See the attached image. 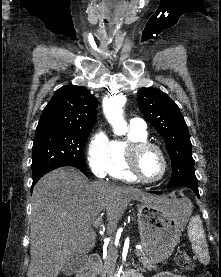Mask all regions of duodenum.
Listing matches in <instances>:
<instances>
[{
  "instance_id": "1",
  "label": "duodenum",
  "mask_w": 221,
  "mask_h": 277,
  "mask_svg": "<svg viewBox=\"0 0 221 277\" xmlns=\"http://www.w3.org/2000/svg\"><path fill=\"white\" fill-rule=\"evenodd\" d=\"M102 267V258L99 254H93L90 257L89 263L80 270L77 277H96ZM129 277V275H126ZM131 277H138V275H132Z\"/></svg>"
}]
</instances>
